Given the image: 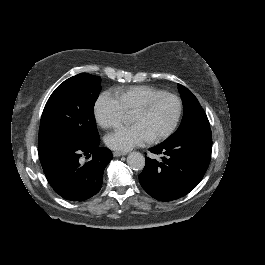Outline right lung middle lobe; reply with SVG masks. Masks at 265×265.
<instances>
[{"mask_svg": "<svg viewBox=\"0 0 265 265\" xmlns=\"http://www.w3.org/2000/svg\"><path fill=\"white\" fill-rule=\"evenodd\" d=\"M100 81L99 76L81 73L54 90L42 113L38 152L51 144L82 146L99 142L93 109Z\"/></svg>", "mask_w": 265, "mask_h": 265, "instance_id": "dd1d6c3e", "label": "right lung middle lobe"}]
</instances>
